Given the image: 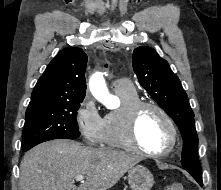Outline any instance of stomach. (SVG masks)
Wrapping results in <instances>:
<instances>
[{
	"mask_svg": "<svg viewBox=\"0 0 221 190\" xmlns=\"http://www.w3.org/2000/svg\"><path fill=\"white\" fill-rule=\"evenodd\" d=\"M128 183L132 190H150L154 184V178L146 167L137 165L129 170Z\"/></svg>",
	"mask_w": 221,
	"mask_h": 190,
	"instance_id": "stomach-1",
	"label": "stomach"
}]
</instances>
